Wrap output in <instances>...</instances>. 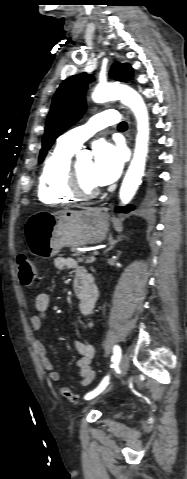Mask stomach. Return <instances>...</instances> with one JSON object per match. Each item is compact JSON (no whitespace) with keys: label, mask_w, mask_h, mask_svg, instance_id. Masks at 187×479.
I'll use <instances>...</instances> for the list:
<instances>
[{"label":"stomach","mask_w":187,"mask_h":479,"mask_svg":"<svg viewBox=\"0 0 187 479\" xmlns=\"http://www.w3.org/2000/svg\"><path fill=\"white\" fill-rule=\"evenodd\" d=\"M108 231V215L99 208L40 211L28 218L24 228L30 252L43 259L65 246L102 242Z\"/></svg>","instance_id":"stomach-1"}]
</instances>
